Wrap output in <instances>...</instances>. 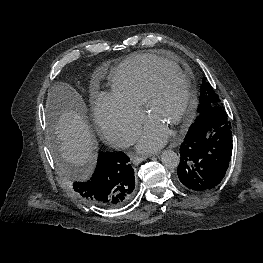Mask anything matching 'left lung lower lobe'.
<instances>
[{
  "label": "left lung lower lobe",
  "instance_id": "1",
  "mask_svg": "<svg viewBox=\"0 0 263 263\" xmlns=\"http://www.w3.org/2000/svg\"><path fill=\"white\" fill-rule=\"evenodd\" d=\"M177 174L187 188L203 192L217 186L227 171L232 154L231 123L219 106L213 107L180 145Z\"/></svg>",
  "mask_w": 263,
  "mask_h": 263
}]
</instances>
